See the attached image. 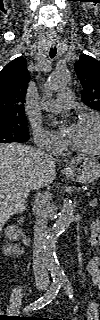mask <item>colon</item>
I'll list each match as a JSON object with an SVG mask.
<instances>
[{
    "label": "colon",
    "mask_w": 100,
    "mask_h": 320,
    "mask_svg": "<svg viewBox=\"0 0 100 320\" xmlns=\"http://www.w3.org/2000/svg\"><path fill=\"white\" fill-rule=\"evenodd\" d=\"M98 228L96 227L93 231V234L90 238V243L92 246H98L100 244V237L97 234Z\"/></svg>",
    "instance_id": "obj_1"
}]
</instances>
